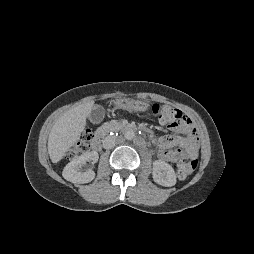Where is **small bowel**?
Returning <instances> with one entry per match:
<instances>
[{
  "instance_id": "obj_1",
  "label": "small bowel",
  "mask_w": 254,
  "mask_h": 254,
  "mask_svg": "<svg viewBox=\"0 0 254 254\" xmlns=\"http://www.w3.org/2000/svg\"><path fill=\"white\" fill-rule=\"evenodd\" d=\"M190 125L173 127L177 132L187 134V136L167 135L159 139V157L162 160L177 162L184 156L189 158H195L197 156V140L195 136L192 135L193 130Z\"/></svg>"
}]
</instances>
